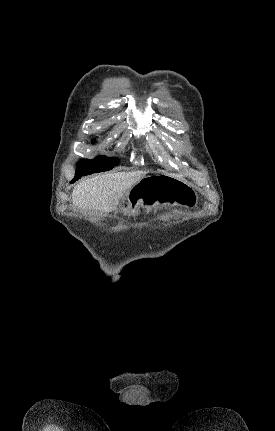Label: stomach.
<instances>
[{
	"label": "stomach",
	"mask_w": 275,
	"mask_h": 431,
	"mask_svg": "<svg viewBox=\"0 0 275 431\" xmlns=\"http://www.w3.org/2000/svg\"><path fill=\"white\" fill-rule=\"evenodd\" d=\"M198 196L185 181L168 174H153L143 177L125 194L119 210L135 214L142 207L147 211L167 206L194 209Z\"/></svg>",
	"instance_id": "stomach-1"
}]
</instances>
